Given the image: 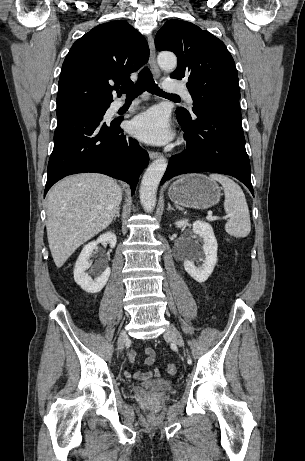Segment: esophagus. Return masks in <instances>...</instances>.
<instances>
[{
    "instance_id": "esophagus-1",
    "label": "esophagus",
    "mask_w": 305,
    "mask_h": 461,
    "mask_svg": "<svg viewBox=\"0 0 305 461\" xmlns=\"http://www.w3.org/2000/svg\"><path fill=\"white\" fill-rule=\"evenodd\" d=\"M147 40H148V45H149V50H150L149 64H150L153 74L155 75V77L158 78L160 76V70L156 62L154 38L151 34H149L147 37ZM160 156H161L160 152H155V151L149 152L150 159H156V158H159Z\"/></svg>"
}]
</instances>
